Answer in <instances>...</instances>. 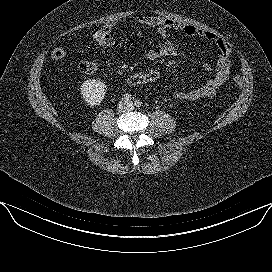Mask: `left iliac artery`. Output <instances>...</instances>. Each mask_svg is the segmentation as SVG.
<instances>
[{"mask_svg": "<svg viewBox=\"0 0 272 272\" xmlns=\"http://www.w3.org/2000/svg\"><path fill=\"white\" fill-rule=\"evenodd\" d=\"M134 105L136 106V107H141L142 106V102L140 101V100H136L135 102H134Z\"/></svg>", "mask_w": 272, "mask_h": 272, "instance_id": "44dca946", "label": "left iliac artery"}]
</instances>
